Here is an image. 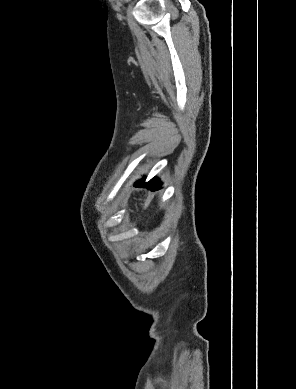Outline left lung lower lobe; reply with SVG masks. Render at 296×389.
Here are the masks:
<instances>
[{"label": "left lung lower lobe", "instance_id": "obj_1", "mask_svg": "<svg viewBox=\"0 0 296 389\" xmlns=\"http://www.w3.org/2000/svg\"><path fill=\"white\" fill-rule=\"evenodd\" d=\"M144 180L145 178H143L142 180H139L137 181L134 186L135 187H146L148 189H150L151 191H155L157 189H160L161 188V183H160V180L157 179V178H153L151 179L150 181L144 183Z\"/></svg>", "mask_w": 296, "mask_h": 389}]
</instances>
